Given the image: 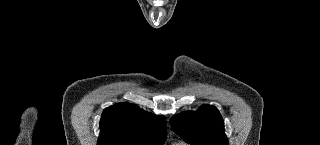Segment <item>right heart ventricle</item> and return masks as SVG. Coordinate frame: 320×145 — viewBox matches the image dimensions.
<instances>
[{
    "label": "right heart ventricle",
    "instance_id": "obj_1",
    "mask_svg": "<svg viewBox=\"0 0 320 145\" xmlns=\"http://www.w3.org/2000/svg\"><path fill=\"white\" fill-rule=\"evenodd\" d=\"M177 145H185L183 142H178Z\"/></svg>",
    "mask_w": 320,
    "mask_h": 145
}]
</instances>
